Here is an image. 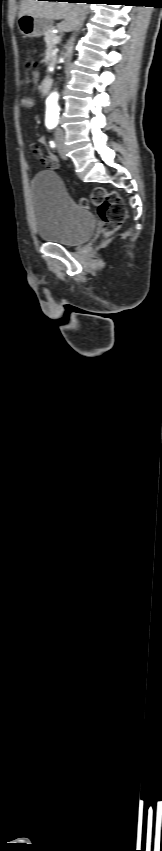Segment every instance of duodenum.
Segmentation results:
<instances>
[{"label":"duodenum","mask_w":162,"mask_h":851,"mask_svg":"<svg viewBox=\"0 0 162 851\" xmlns=\"http://www.w3.org/2000/svg\"><path fill=\"white\" fill-rule=\"evenodd\" d=\"M51 86H52V79H51V78H49V77H45V78L42 80V83H41V91H42V93H44V94L49 93V91H50V89H51Z\"/></svg>","instance_id":"obj_1"}]
</instances>
